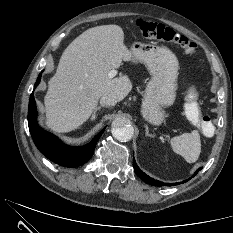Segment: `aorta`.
<instances>
[{
    "label": "aorta",
    "mask_w": 233,
    "mask_h": 233,
    "mask_svg": "<svg viewBox=\"0 0 233 233\" xmlns=\"http://www.w3.org/2000/svg\"><path fill=\"white\" fill-rule=\"evenodd\" d=\"M112 135L121 142L131 140L134 134V128L130 125L129 119L126 117H117L112 122Z\"/></svg>",
    "instance_id": "obj_1"
}]
</instances>
